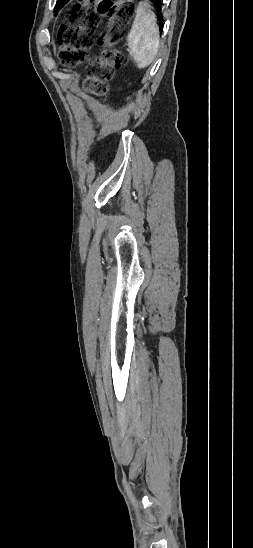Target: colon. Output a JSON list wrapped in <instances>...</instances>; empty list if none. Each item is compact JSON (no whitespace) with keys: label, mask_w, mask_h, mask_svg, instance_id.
I'll use <instances>...</instances> for the list:
<instances>
[{"label":"colon","mask_w":253,"mask_h":548,"mask_svg":"<svg viewBox=\"0 0 253 548\" xmlns=\"http://www.w3.org/2000/svg\"><path fill=\"white\" fill-rule=\"evenodd\" d=\"M134 10L133 0H78L72 10V23L61 27L59 57L67 66L86 64L84 88L87 92L106 95L115 70L126 64L125 57L114 46L121 40L122 26L133 16ZM101 15H108L112 23L98 38L101 54L89 59L88 51Z\"/></svg>","instance_id":"colon-1"}]
</instances>
